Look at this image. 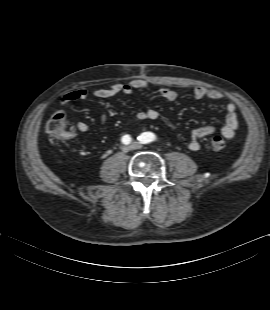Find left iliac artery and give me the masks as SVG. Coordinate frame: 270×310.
<instances>
[{
	"label": "left iliac artery",
	"instance_id": "left-iliac-artery-1",
	"mask_svg": "<svg viewBox=\"0 0 270 310\" xmlns=\"http://www.w3.org/2000/svg\"><path fill=\"white\" fill-rule=\"evenodd\" d=\"M156 139V136L151 133V132H144L142 133L139 137L138 140L142 143V144H147L150 143L152 141H154Z\"/></svg>",
	"mask_w": 270,
	"mask_h": 310
}]
</instances>
